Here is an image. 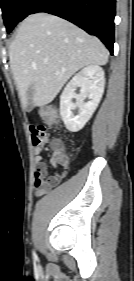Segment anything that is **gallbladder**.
<instances>
[{
	"label": "gallbladder",
	"mask_w": 134,
	"mask_h": 281,
	"mask_svg": "<svg viewBox=\"0 0 134 281\" xmlns=\"http://www.w3.org/2000/svg\"><path fill=\"white\" fill-rule=\"evenodd\" d=\"M28 95H29V96L32 95V89H30V90L28 91ZM30 105H31V104H29V107H30Z\"/></svg>",
	"instance_id": "obj_1"
}]
</instances>
